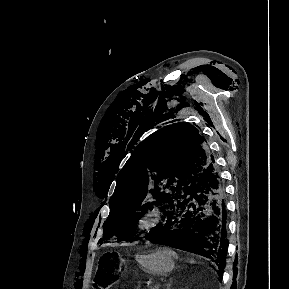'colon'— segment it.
I'll list each match as a JSON object with an SVG mask.
<instances>
[{
    "label": "colon",
    "mask_w": 289,
    "mask_h": 289,
    "mask_svg": "<svg viewBox=\"0 0 289 289\" xmlns=\"http://www.w3.org/2000/svg\"><path fill=\"white\" fill-rule=\"evenodd\" d=\"M123 268L112 252L104 253L99 262L93 286L96 289H109L118 284L123 276Z\"/></svg>",
    "instance_id": "obj_1"
}]
</instances>
